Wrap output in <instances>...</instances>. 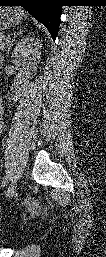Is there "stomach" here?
<instances>
[{"mask_svg":"<svg viewBox=\"0 0 106 257\" xmlns=\"http://www.w3.org/2000/svg\"><path fill=\"white\" fill-rule=\"evenodd\" d=\"M23 11L19 8L3 7L0 9V29L6 30L20 23Z\"/></svg>","mask_w":106,"mask_h":257,"instance_id":"0dacf381","label":"stomach"}]
</instances>
